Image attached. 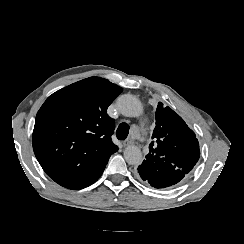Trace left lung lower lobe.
Returning a JSON list of instances; mask_svg holds the SVG:
<instances>
[{
  "instance_id": "left-lung-lower-lobe-1",
  "label": "left lung lower lobe",
  "mask_w": 244,
  "mask_h": 244,
  "mask_svg": "<svg viewBox=\"0 0 244 244\" xmlns=\"http://www.w3.org/2000/svg\"><path fill=\"white\" fill-rule=\"evenodd\" d=\"M166 165L168 163L146 159L139 165L138 173L143 181L155 188H165L175 185L186 175Z\"/></svg>"
}]
</instances>
